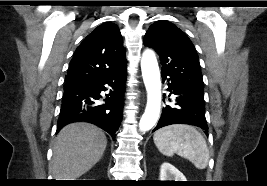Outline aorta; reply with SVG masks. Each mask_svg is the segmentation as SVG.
Listing matches in <instances>:
<instances>
[{
	"label": "aorta",
	"instance_id": "1",
	"mask_svg": "<svg viewBox=\"0 0 267 186\" xmlns=\"http://www.w3.org/2000/svg\"><path fill=\"white\" fill-rule=\"evenodd\" d=\"M143 81L147 90V105L139 123L141 131H148L157 123L161 109V80L156 56L144 51L141 59Z\"/></svg>",
	"mask_w": 267,
	"mask_h": 186
}]
</instances>
